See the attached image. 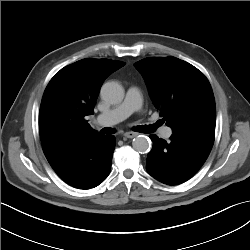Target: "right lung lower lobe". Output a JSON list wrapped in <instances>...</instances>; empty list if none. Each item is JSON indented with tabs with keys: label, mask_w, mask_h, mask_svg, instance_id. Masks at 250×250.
<instances>
[{
	"label": "right lung lower lobe",
	"mask_w": 250,
	"mask_h": 250,
	"mask_svg": "<svg viewBox=\"0 0 250 250\" xmlns=\"http://www.w3.org/2000/svg\"><path fill=\"white\" fill-rule=\"evenodd\" d=\"M115 137L95 134L66 147L48 159L57 175L67 184L79 188H94L110 173Z\"/></svg>",
	"instance_id": "right-lung-lower-lobe-1"
}]
</instances>
